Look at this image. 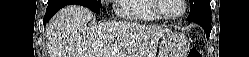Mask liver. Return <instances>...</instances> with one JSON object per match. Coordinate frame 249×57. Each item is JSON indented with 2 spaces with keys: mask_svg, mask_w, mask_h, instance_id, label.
I'll list each match as a JSON object with an SVG mask.
<instances>
[{
  "mask_svg": "<svg viewBox=\"0 0 249 57\" xmlns=\"http://www.w3.org/2000/svg\"><path fill=\"white\" fill-rule=\"evenodd\" d=\"M93 13L81 5L62 8L47 25L50 57H156L168 30L130 22L88 27Z\"/></svg>",
  "mask_w": 249,
  "mask_h": 57,
  "instance_id": "1",
  "label": "liver"
}]
</instances>
